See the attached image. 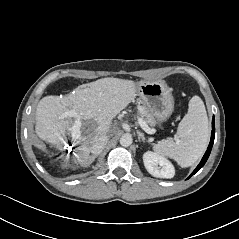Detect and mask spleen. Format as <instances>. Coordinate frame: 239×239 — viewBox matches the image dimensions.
Masks as SVG:
<instances>
[{"label": "spleen", "mask_w": 239, "mask_h": 239, "mask_svg": "<svg viewBox=\"0 0 239 239\" xmlns=\"http://www.w3.org/2000/svg\"><path fill=\"white\" fill-rule=\"evenodd\" d=\"M209 140L208 117L203 101L193 96L187 114L178 125L174 139H163L153 145L155 154L189 167L204 154Z\"/></svg>", "instance_id": "1"}]
</instances>
